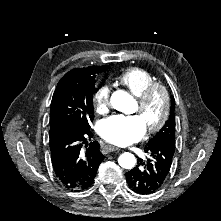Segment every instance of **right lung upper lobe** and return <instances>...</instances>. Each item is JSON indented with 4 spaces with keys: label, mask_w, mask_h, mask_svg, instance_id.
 Returning a JSON list of instances; mask_svg holds the SVG:
<instances>
[{
    "label": "right lung upper lobe",
    "mask_w": 221,
    "mask_h": 221,
    "mask_svg": "<svg viewBox=\"0 0 221 221\" xmlns=\"http://www.w3.org/2000/svg\"><path fill=\"white\" fill-rule=\"evenodd\" d=\"M96 67H98V66H90V67H87V68H75L76 70H93V69H95ZM75 69H73V70H75Z\"/></svg>",
    "instance_id": "1"
}]
</instances>
